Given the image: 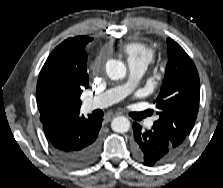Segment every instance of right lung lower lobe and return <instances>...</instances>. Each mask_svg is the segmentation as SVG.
<instances>
[{"instance_id":"98d812e1","label":"right lung lower lobe","mask_w":223,"mask_h":188,"mask_svg":"<svg viewBox=\"0 0 223 188\" xmlns=\"http://www.w3.org/2000/svg\"><path fill=\"white\" fill-rule=\"evenodd\" d=\"M102 120L81 116L43 125V129L55 156L67 166L82 168L92 164L99 155Z\"/></svg>"}]
</instances>
